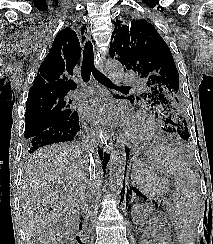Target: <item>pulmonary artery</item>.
Instances as JSON below:
<instances>
[{
  "mask_svg": "<svg viewBox=\"0 0 213 244\" xmlns=\"http://www.w3.org/2000/svg\"><path fill=\"white\" fill-rule=\"evenodd\" d=\"M121 81L124 82V83H128V82L133 81V78L129 74H124L123 76H121ZM93 92H94V90L92 89V87H90V86H88L86 84H83L82 87L75 92V94L79 98H84V97L92 94Z\"/></svg>",
  "mask_w": 213,
  "mask_h": 244,
  "instance_id": "e3ab8cb5",
  "label": "pulmonary artery"
}]
</instances>
